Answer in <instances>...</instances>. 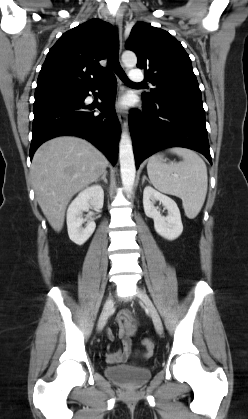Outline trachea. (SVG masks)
Masks as SVG:
<instances>
[{"label":"trachea","instance_id":"obj_1","mask_svg":"<svg viewBox=\"0 0 248 419\" xmlns=\"http://www.w3.org/2000/svg\"><path fill=\"white\" fill-rule=\"evenodd\" d=\"M118 52H119V43L117 35L114 36L112 45H111V51L108 58V68L113 69L114 72L117 74V76L125 83L129 85H142L131 82L126 73L123 71L122 67L120 66L119 60H118Z\"/></svg>","mask_w":248,"mask_h":419}]
</instances>
